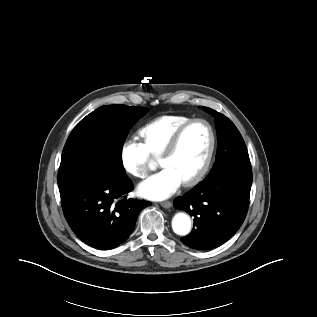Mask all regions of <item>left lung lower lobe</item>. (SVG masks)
I'll use <instances>...</instances> for the list:
<instances>
[{
  "label": "left lung lower lobe",
  "mask_w": 317,
  "mask_h": 317,
  "mask_svg": "<svg viewBox=\"0 0 317 317\" xmlns=\"http://www.w3.org/2000/svg\"><path fill=\"white\" fill-rule=\"evenodd\" d=\"M252 185L251 170H232L213 180H204L174 206L194 217L190 235L181 241L190 248L212 249L235 234L247 214Z\"/></svg>",
  "instance_id": "obj_1"
}]
</instances>
